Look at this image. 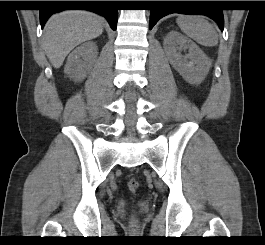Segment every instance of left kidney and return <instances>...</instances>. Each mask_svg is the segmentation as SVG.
<instances>
[{"instance_id":"left-kidney-1","label":"left kidney","mask_w":265,"mask_h":245,"mask_svg":"<svg viewBox=\"0 0 265 245\" xmlns=\"http://www.w3.org/2000/svg\"><path fill=\"white\" fill-rule=\"evenodd\" d=\"M164 51L171 65L190 84H200L207 76L212 62L191 40L176 31L164 38ZM183 56L180 51L187 50Z\"/></svg>"}]
</instances>
